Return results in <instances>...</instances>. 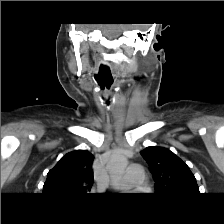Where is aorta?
Masks as SVG:
<instances>
[{"label": "aorta", "instance_id": "762f6f07", "mask_svg": "<svg viewBox=\"0 0 224 224\" xmlns=\"http://www.w3.org/2000/svg\"><path fill=\"white\" fill-rule=\"evenodd\" d=\"M128 165V160L125 156L121 154H115L113 155L108 164H107V170L112 180L116 181L119 180Z\"/></svg>", "mask_w": 224, "mask_h": 224}]
</instances>
